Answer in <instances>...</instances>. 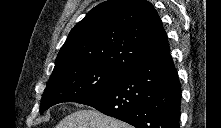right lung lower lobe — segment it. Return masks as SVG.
<instances>
[{
    "instance_id": "98d812e1",
    "label": "right lung lower lobe",
    "mask_w": 221,
    "mask_h": 128,
    "mask_svg": "<svg viewBox=\"0 0 221 128\" xmlns=\"http://www.w3.org/2000/svg\"><path fill=\"white\" fill-rule=\"evenodd\" d=\"M77 103L136 128H179L181 86L169 51L148 58Z\"/></svg>"
}]
</instances>
